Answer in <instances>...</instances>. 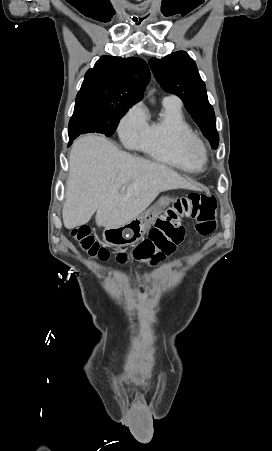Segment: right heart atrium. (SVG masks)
Segmentation results:
<instances>
[{
    "mask_svg": "<svg viewBox=\"0 0 272 451\" xmlns=\"http://www.w3.org/2000/svg\"><path fill=\"white\" fill-rule=\"evenodd\" d=\"M146 128V113L143 107L137 104L122 119L119 134L123 142L136 145L144 136Z\"/></svg>",
    "mask_w": 272,
    "mask_h": 451,
    "instance_id": "obj_1",
    "label": "right heart atrium"
}]
</instances>
